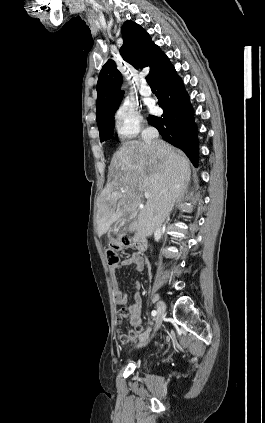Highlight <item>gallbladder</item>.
Listing matches in <instances>:
<instances>
[{
  "label": "gallbladder",
  "instance_id": "bac80fb5",
  "mask_svg": "<svg viewBox=\"0 0 265 423\" xmlns=\"http://www.w3.org/2000/svg\"><path fill=\"white\" fill-rule=\"evenodd\" d=\"M133 216H130L129 218L126 219H119L113 226V231L116 232L117 230H119L120 228H123L124 226H126L130 220H133Z\"/></svg>",
  "mask_w": 265,
  "mask_h": 423
}]
</instances>
